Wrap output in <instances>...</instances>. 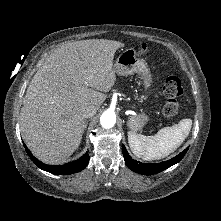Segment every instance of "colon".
I'll return each instance as SVG.
<instances>
[{"label":"colon","instance_id":"obj_1","mask_svg":"<svg viewBox=\"0 0 221 221\" xmlns=\"http://www.w3.org/2000/svg\"><path fill=\"white\" fill-rule=\"evenodd\" d=\"M139 52L141 55H148L150 49L144 44L140 46ZM163 92L167 98L162 110L163 115L166 117H172L178 112V99L184 93L180 79L176 76L168 77L164 82Z\"/></svg>","mask_w":221,"mask_h":221}]
</instances>
